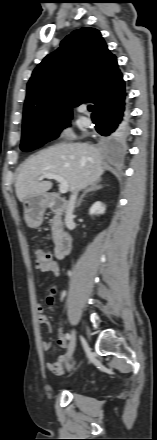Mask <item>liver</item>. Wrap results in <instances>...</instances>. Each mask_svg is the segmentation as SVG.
Instances as JSON below:
<instances>
[{
	"label": "liver",
	"instance_id": "liver-1",
	"mask_svg": "<svg viewBox=\"0 0 157 440\" xmlns=\"http://www.w3.org/2000/svg\"><path fill=\"white\" fill-rule=\"evenodd\" d=\"M49 173L64 177L71 192L84 189L100 181L104 173L101 150L88 143H61L30 157L20 166L16 179L19 201L49 191L52 183L38 180Z\"/></svg>",
	"mask_w": 157,
	"mask_h": 440
}]
</instances>
